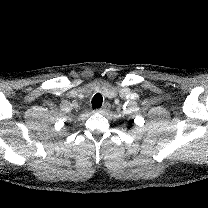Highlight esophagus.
Masks as SVG:
<instances>
[{"instance_id":"1","label":"esophagus","mask_w":208,"mask_h":208,"mask_svg":"<svg viewBox=\"0 0 208 208\" xmlns=\"http://www.w3.org/2000/svg\"><path fill=\"white\" fill-rule=\"evenodd\" d=\"M111 105L109 103H105L101 108L97 109L98 113L106 114L110 111Z\"/></svg>"}]
</instances>
